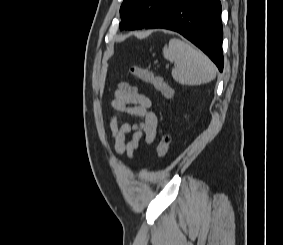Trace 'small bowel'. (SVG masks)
<instances>
[{
	"instance_id": "obj_1",
	"label": "small bowel",
	"mask_w": 283,
	"mask_h": 245,
	"mask_svg": "<svg viewBox=\"0 0 283 245\" xmlns=\"http://www.w3.org/2000/svg\"><path fill=\"white\" fill-rule=\"evenodd\" d=\"M151 105V100L135 86L128 83L119 85L110 103L114 115L109 122L117 154H125L129 159L134 160L135 151L142 139L148 144L154 142L157 135L158 118L151 110ZM117 113L137 117L140 120L135 123L127 122L119 125L115 116ZM129 133H131V138L126 141V135Z\"/></svg>"
}]
</instances>
